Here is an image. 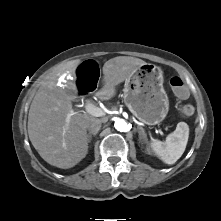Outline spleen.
Returning <instances> with one entry per match:
<instances>
[{
  "label": "spleen",
  "instance_id": "obj_1",
  "mask_svg": "<svg viewBox=\"0 0 221 221\" xmlns=\"http://www.w3.org/2000/svg\"><path fill=\"white\" fill-rule=\"evenodd\" d=\"M188 138V125L185 122H179L175 131L169 134L164 142L154 140L150 146L166 164H174L183 155Z\"/></svg>",
  "mask_w": 221,
  "mask_h": 221
}]
</instances>
